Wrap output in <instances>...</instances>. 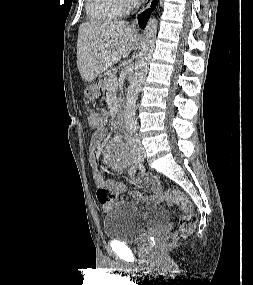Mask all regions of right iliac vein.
Instances as JSON below:
<instances>
[{
  "mask_svg": "<svg viewBox=\"0 0 253 285\" xmlns=\"http://www.w3.org/2000/svg\"><path fill=\"white\" fill-rule=\"evenodd\" d=\"M134 155L137 161L141 162L143 160V152L141 149L139 148L135 149Z\"/></svg>",
  "mask_w": 253,
  "mask_h": 285,
  "instance_id": "63e3f726",
  "label": "right iliac vein"
}]
</instances>
